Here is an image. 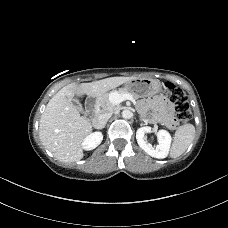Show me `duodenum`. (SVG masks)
Listing matches in <instances>:
<instances>
[{
    "label": "duodenum",
    "instance_id": "duodenum-1",
    "mask_svg": "<svg viewBox=\"0 0 228 228\" xmlns=\"http://www.w3.org/2000/svg\"><path fill=\"white\" fill-rule=\"evenodd\" d=\"M95 99L89 100L87 110L88 112H91L94 107Z\"/></svg>",
    "mask_w": 228,
    "mask_h": 228
}]
</instances>
